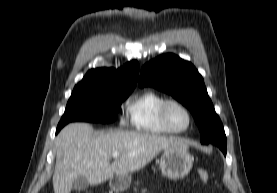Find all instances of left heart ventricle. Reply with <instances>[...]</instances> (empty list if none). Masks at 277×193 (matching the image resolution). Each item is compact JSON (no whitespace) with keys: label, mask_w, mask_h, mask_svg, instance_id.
Segmentation results:
<instances>
[{"label":"left heart ventricle","mask_w":277,"mask_h":193,"mask_svg":"<svg viewBox=\"0 0 277 193\" xmlns=\"http://www.w3.org/2000/svg\"><path fill=\"white\" fill-rule=\"evenodd\" d=\"M167 118L170 125L177 130H182L188 125V117L185 111L176 104H171L167 110Z\"/></svg>","instance_id":"b2bd125f"}]
</instances>
